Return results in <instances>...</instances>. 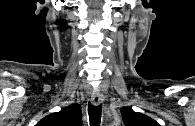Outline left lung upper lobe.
Here are the masks:
<instances>
[{
	"label": "left lung upper lobe",
	"mask_w": 195,
	"mask_h": 126,
	"mask_svg": "<svg viewBox=\"0 0 195 126\" xmlns=\"http://www.w3.org/2000/svg\"><path fill=\"white\" fill-rule=\"evenodd\" d=\"M121 113L126 126H159L152 118L142 113L134 112L129 107L122 108Z\"/></svg>",
	"instance_id": "1"
}]
</instances>
